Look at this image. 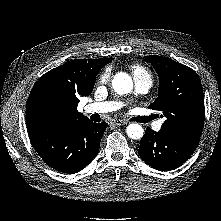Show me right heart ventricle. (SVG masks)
I'll list each match as a JSON object with an SVG mask.
<instances>
[{
    "instance_id": "right-heart-ventricle-1",
    "label": "right heart ventricle",
    "mask_w": 221,
    "mask_h": 221,
    "mask_svg": "<svg viewBox=\"0 0 221 221\" xmlns=\"http://www.w3.org/2000/svg\"><path fill=\"white\" fill-rule=\"evenodd\" d=\"M134 78L145 77L151 79V75L148 70L141 65H133L131 67Z\"/></svg>"
}]
</instances>
